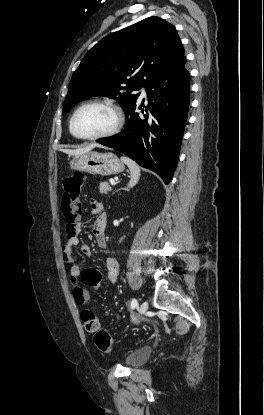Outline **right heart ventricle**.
I'll return each instance as SVG.
<instances>
[{"instance_id": "e07e8e85", "label": "right heart ventricle", "mask_w": 264, "mask_h": 415, "mask_svg": "<svg viewBox=\"0 0 264 415\" xmlns=\"http://www.w3.org/2000/svg\"><path fill=\"white\" fill-rule=\"evenodd\" d=\"M69 129H70V124H69ZM70 132H71V129H70ZM72 133V132H71Z\"/></svg>"}]
</instances>
